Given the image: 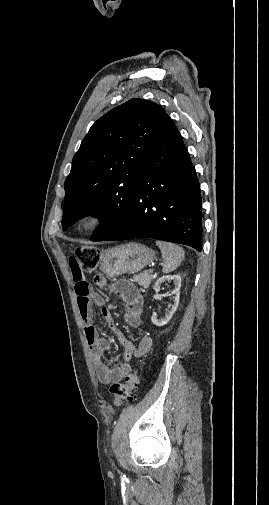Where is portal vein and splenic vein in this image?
I'll return each instance as SVG.
<instances>
[{"mask_svg": "<svg viewBox=\"0 0 269 505\" xmlns=\"http://www.w3.org/2000/svg\"><path fill=\"white\" fill-rule=\"evenodd\" d=\"M149 271L152 273V272H153V269H150Z\"/></svg>", "mask_w": 269, "mask_h": 505, "instance_id": "portal-vein-and-splenic-vein-1", "label": "portal vein and splenic vein"}]
</instances>
